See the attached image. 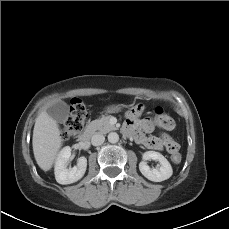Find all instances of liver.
Returning a JSON list of instances; mask_svg holds the SVG:
<instances>
[{"instance_id":"1","label":"liver","mask_w":229,"mask_h":229,"mask_svg":"<svg viewBox=\"0 0 229 229\" xmlns=\"http://www.w3.org/2000/svg\"><path fill=\"white\" fill-rule=\"evenodd\" d=\"M62 143L57 121L42 111L35 120L32 139L34 157L42 170L52 168Z\"/></svg>"}]
</instances>
